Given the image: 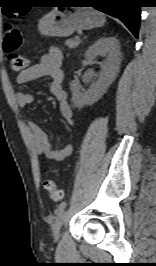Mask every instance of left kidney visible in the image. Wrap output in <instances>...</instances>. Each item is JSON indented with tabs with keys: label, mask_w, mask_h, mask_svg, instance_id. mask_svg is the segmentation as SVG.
Returning a JSON list of instances; mask_svg holds the SVG:
<instances>
[{
	"label": "left kidney",
	"mask_w": 156,
	"mask_h": 266,
	"mask_svg": "<svg viewBox=\"0 0 156 266\" xmlns=\"http://www.w3.org/2000/svg\"><path fill=\"white\" fill-rule=\"evenodd\" d=\"M100 55L107 59L100 65L101 72L98 81L87 91L81 93L76 80L70 83L73 105L82 108L97 102L114 81L120 67V44L116 37L105 36L98 39L86 51L85 57L93 61Z\"/></svg>",
	"instance_id": "obj_1"
}]
</instances>
